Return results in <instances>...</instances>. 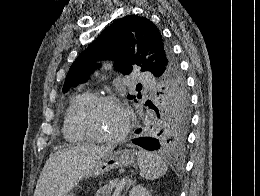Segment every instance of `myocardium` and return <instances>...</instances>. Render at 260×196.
<instances>
[{
  "label": "myocardium",
  "instance_id": "f54148a6",
  "mask_svg": "<svg viewBox=\"0 0 260 196\" xmlns=\"http://www.w3.org/2000/svg\"><path fill=\"white\" fill-rule=\"evenodd\" d=\"M105 104H116L123 108L125 113V124L124 127L115 135L110 134H100L94 131L89 126V118L94 113V111L102 105ZM77 126L90 140L98 142H120L124 140L129 134L133 126V116L132 112L127 104V102L114 95H101L95 96L91 101H89L79 112L77 117Z\"/></svg>",
  "mask_w": 260,
  "mask_h": 196
}]
</instances>
